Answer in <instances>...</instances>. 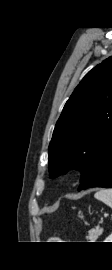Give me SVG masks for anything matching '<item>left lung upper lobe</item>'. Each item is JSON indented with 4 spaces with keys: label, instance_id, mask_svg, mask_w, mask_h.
<instances>
[{
    "label": "left lung upper lobe",
    "instance_id": "obj_1",
    "mask_svg": "<svg viewBox=\"0 0 112 270\" xmlns=\"http://www.w3.org/2000/svg\"><path fill=\"white\" fill-rule=\"evenodd\" d=\"M112 146V56L82 79L66 102L49 145V173L81 171V182Z\"/></svg>",
    "mask_w": 112,
    "mask_h": 270
}]
</instances>
